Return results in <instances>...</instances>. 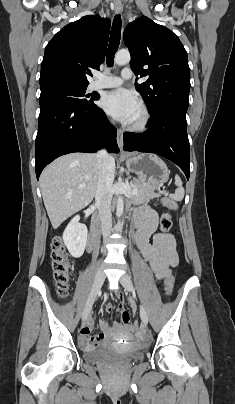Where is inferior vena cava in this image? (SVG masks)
<instances>
[{"instance_id": "602c4592", "label": "inferior vena cava", "mask_w": 235, "mask_h": 404, "mask_svg": "<svg viewBox=\"0 0 235 404\" xmlns=\"http://www.w3.org/2000/svg\"><path fill=\"white\" fill-rule=\"evenodd\" d=\"M98 158V181L95 192V202L98 208V215L101 221V228L104 240L112 230L111 200L113 196L112 184L115 173L114 158L101 150L97 153Z\"/></svg>"}]
</instances>
